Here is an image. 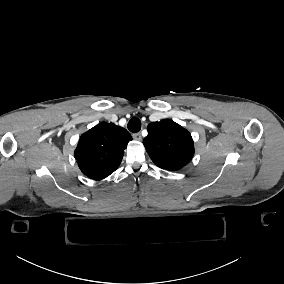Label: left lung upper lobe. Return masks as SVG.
<instances>
[{
    "label": "left lung upper lobe",
    "mask_w": 284,
    "mask_h": 284,
    "mask_svg": "<svg viewBox=\"0 0 284 284\" xmlns=\"http://www.w3.org/2000/svg\"><path fill=\"white\" fill-rule=\"evenodd\" d=\"M147 130L143 144L155 165L177 171L190 162L194 154L193 139L182 126L164 119L150 123Z\"/></svg>",
    "instance_id": "5c2ea615"
}]
</instances>
